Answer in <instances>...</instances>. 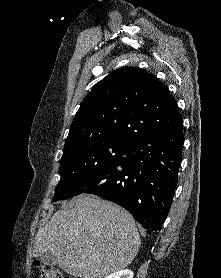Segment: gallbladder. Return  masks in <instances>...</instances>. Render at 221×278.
<instances>
[{"instance_id": "1", "label": "gallbladder", "mask_w": 221, "mask_h": 278, "mask_svg": "<svg viewBox=\"0 0 221 278\" xmlns=\"http://www.w3.org/2000/svg\"><path fill=\"white\" fill-rule=\"evenodd\" d=\"M40 259L44 265L55 266L57 264L56 257L51 253L43 254Z\"/></svg>"}]
</instances>
